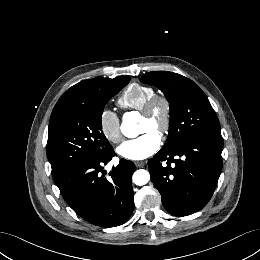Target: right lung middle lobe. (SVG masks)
I'll return each instance as SVG.
<instances>
[{"instance_id": "dd1d6c3e", "label": "right lung middle lobe", "mask_w": 260, "mask_h": 260, "mask_svg": "<svg viewBox=\"0 0 260 260\" xmlns=\"http://www.w3.org/2000/svg\"><path fill=\"white\" fill-rule=\"evenodd\" d=\"M130 81H110L93 90L85 101L66 107L51 117L47 157L53 177L72 164L95 160L113 151L102 131L106 103Z\"/></svg>"}]
</instances>
